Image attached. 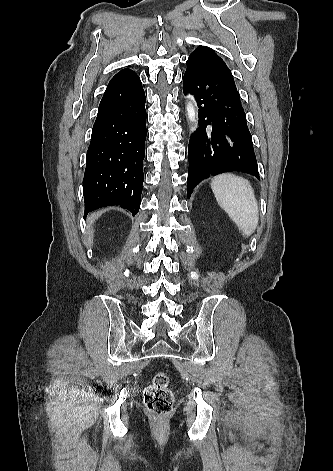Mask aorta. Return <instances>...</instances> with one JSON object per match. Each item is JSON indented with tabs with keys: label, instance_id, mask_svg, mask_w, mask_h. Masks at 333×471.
<instances>
[{
	"label": "aorta",
	"instance_id": "1",
	"mask_svg": "<svg viewBox=\"0 0 333 471\" xmlns=\"http://www.w3.org/2000/svg\"><path fill=\"white\" fill-rule=\"evenodd\" d=\"M187 114H188V118L191 122L196 121V111H195V108H194V105H193L192 101H189L188 104H187Z\"/></svg>",
	"mask_w": 333,
	"mask_h": 471
}]
</instances>
